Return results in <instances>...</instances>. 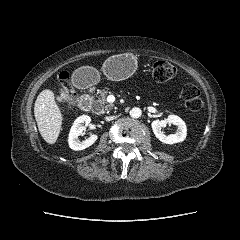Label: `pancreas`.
<instances>
[{
    "instance_id": "pancreas-1",
    "label": "pancreas",
    "mask_w": 240,
    "mask_h": 240,
    "mask_svg": "<svg viewBox=\"0 0 240 240\" xmlns=\"http://www.w3.org/2000/svg\"><path fill=\"white\" fill-rule=\"evenodd\" d=\"M110 93L106 89L97 90L98 99L93 101V108L97 114L108 112L114 107V104L107 103L106 96Z\"/></svg>"
}]
</instances>
